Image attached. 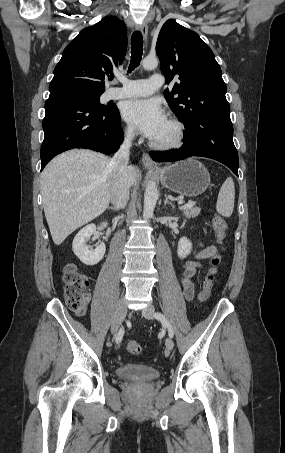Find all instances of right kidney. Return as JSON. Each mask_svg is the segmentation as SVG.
I'll list each match as a JSON object with an SVG mask.
<instances>
[{
	"instance_id": "right-kidney-1",
	"label": "right kidney",
	"mask_w": 285,
	"mask_h": 453,
	"mask_svg": "<svg viewBox=\"0 0 285 453\" xmlns=\"http://www.w3.org/2000/svg\"><path fill=\"white\" fill-rule=\"evenodd\" d=\"M108 223L103 222L102 227H107ZM96 232V226L89 224L82 228L75 236L72 244L74 254L86 265L93 266L99 263L104 257L106 246L100 243L95 249L86 244L87 240Z\"/></svg>"
}]
</instances>
